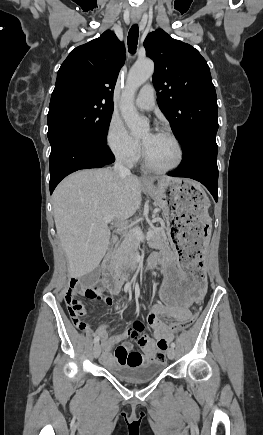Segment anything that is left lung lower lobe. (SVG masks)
I'll return each mask as SVG.
<instances>
[{"label": "left lung lower lobe", "mask_w": 263, "mask_h": 435, "mask_svg": "<svg viewBox=\"0 0 263 435\" xmlns=\"http://www.w3.org/2000/svg\"><path fill=\"white\" fill-rule=\"evenodd\" d=\"M217 151L216 134L195 137L183 148V160L179 169L168 175L192 178L201 182L217 202Z\"/></svg>", "instance_id": "0a47b994"}]
</instances>
